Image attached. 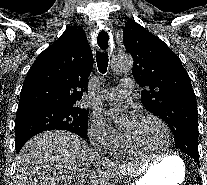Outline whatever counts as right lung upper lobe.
<instances>
[{
    "label": "right lung upper lobe",
    "mask_w": 207,
    "mask_h": 185,
    "mask_svg": "<svg viewBox=\"0 0 207 185\" xmlns=\"http://www.w3.org/2000/svg\"><path fill=\"white\" fill-rule=\"evenodd\" d=\"M92 68L93 55L84 30L67 27L30 67L18 110L32 107L85 110L78 103L87 90Z\"/></svg>",
    "instance_id": "cb5924a9"
}]
</instances>
